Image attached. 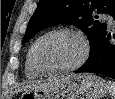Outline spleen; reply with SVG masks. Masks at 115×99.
<instances>
[{
    "mask_svg": "<svg viewBox=\"0 0 115 99\" xmlns=\"http://www.w3.org/2000/svg\"><path fill=\"white\" fill-rule=\"evenodd\" d=\"M107 87H108L109 93L112 96V99H115V81H108Z\"/></svg>",
    "mask_w": 115,
    "mask_h": 99,
    "instance_id": "obj_1",
    "label": "spleen"
}]
</instances>
